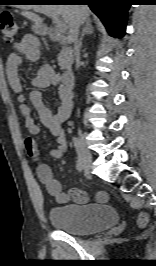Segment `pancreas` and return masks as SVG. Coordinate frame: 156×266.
<instances>
[{
  "instance_id": "pancreas-1",
  "label": "pancreas",
  "mask_w": 156,
  "mask_h": 266,
  "mask_svg": "<svg viewBox=\"0 0 156 266\" xmlns=\"http://www.w3.org/2000/svg\"><path fill=\"white\" fill-rule=\"evenodd\" d=\"M58 63L61 70L67 69L73 63V51L70 47L63 46L58 54Z\"/></svg>"
}]
</instances>
